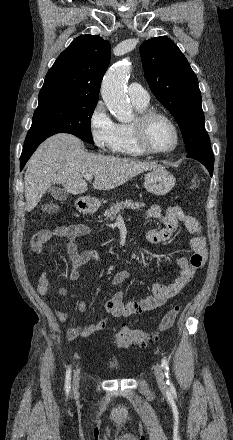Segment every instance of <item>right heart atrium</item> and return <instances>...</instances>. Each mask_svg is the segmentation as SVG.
Returning a JSON list of instances; mask_svg holds the SVG:
<instances>
[{"label":"right heart atrium","instance_id":"right-heart-atrium-1","mask_svg":"<svg viewBox=\"0 0 233 440\" xmlns=\"http://www.w3.org/2000/svg\"><path fill=\"white\" fill-rule=\"evenodd\" d=\"M89 131L96 147L105 153L115 152L118 123L114 121L105 104L99 100L89 116Z\"/></svg>","mask_w":233,"mask_h":440}]
</instances>
